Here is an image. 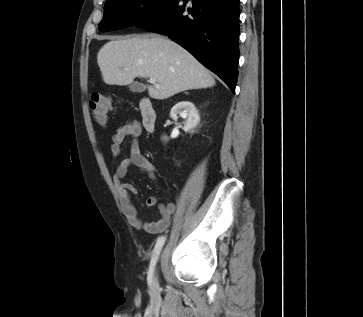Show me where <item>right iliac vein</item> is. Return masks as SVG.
I'll use <instances>...</instances> for the list:
<instances>
[{
	"label": "right iliac vein",
	"mask_w": 363,
	"mask_h": 317,
	"mask_svg": "<svg viewBox=\"0 0 363 317\" xmlns=\"http://www.w3.org/2000/svg\"><path fill=\"white\" fill-rule=\"evenodd\" d=\"M152 288L153 289L157 288V276H154L152 279Z\"/></svg>",
	"instance_id": "right-iliac-vein-1"
}]
</instances>
